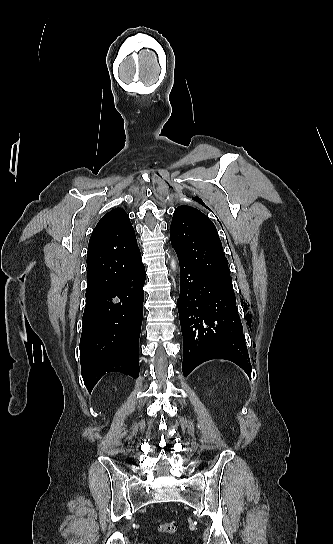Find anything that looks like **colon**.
<instances>
[{"label":"colon","instance_id":"1","mask_svg":"<svg viewBox=\"0 0 333 544\" xmlns=\"http://www.w3.org/2000/svg\"><path fill=\"white\" fill-rule=\"evenodd\" d=\"M176 528H177V525L175 522H164L158 525L157 530L161 533L170 534L175 532Z\"/></svg>","mask_w":333,"mask_h":544}]
</instances>
